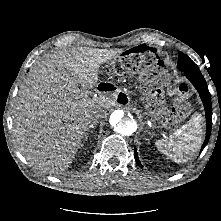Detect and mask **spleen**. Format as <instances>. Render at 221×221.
<instances>
[{
	"label": "spleen",
	"mask_w": 221,
	"mask_h": 221,
	"mask_svg": "<svg viewBox=\"0 0 221 221\" xmlns=\"http://www.w3.org/2000/svg\"><path fill=\"white\" fill-rule=\"evenodd\" d=\"M203 124L201 115L196 113L188 123L169 137L156 141L160 152L177 162H186L202 142Z\"/></svg>",
	"instance_id": "spleen-1"
}]
</instances>
